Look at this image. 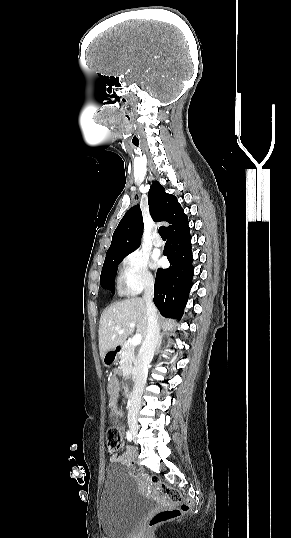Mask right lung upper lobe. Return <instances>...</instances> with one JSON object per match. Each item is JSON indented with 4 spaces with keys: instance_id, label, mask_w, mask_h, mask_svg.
<instances>
[{
    "instance_id": "1",
    "label": "right lung upper lobe",
    "mask_w": 291,
    "mask_h": 538,
    "mask_svg": "<svg viewBox=\"0 0 291 538\" xmlns=\"http://www.w3.org/2000/svg\"><path fill=\"white\" fill-rule=\"evenodd\" d=\"M149 210L154 221H166L167 233L187 222V216L174 195L165 192L159 182H154L148 193ZM143 231L139 205L132 207L119 222L106 253L105 261L126 256L137 249Z\"/></svg>"
}]
</instances>
